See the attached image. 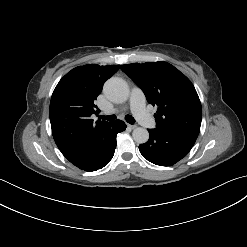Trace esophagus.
Masks as SVG:
<instances>
[{"label":"esophagus","instance_id":"obj_1","mask_svg":"<svg viewBox=\"0 0 247 247\" xmlns=\"http://www.w3.org/2000/svg\"><path fill=\"white\" fill-rule=\"evenodd\" d=\"M127 126L130 128V129H135L137 126L136 125H132V124H127Z\"/></svg>","mask_w":247,"mask_h":247}]
</instances>
